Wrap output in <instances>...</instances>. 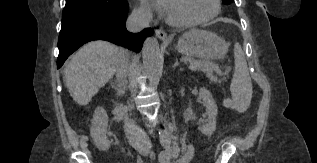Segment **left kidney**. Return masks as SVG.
I'll list each match as a JSON object with an SVG mask.
<instances>
[{
	"label": "left kidney",
	"mask_w": 317,
	"mask_h": 163,
	"mask_svg": "<svg viewBox=\"0 0 317 163\" xmlns=\"http://www.w3.org/2000/svg\"><path fill=\"white\" fill-rule=\"evenodd\" d=\"M199 96L203 100L208 118L206 123L200 126L198 129L202 134L211 136L216 130V117L218 114L217 105L212 97V94L206 88H200Z\"/></svg>",
	"instance_id": "5707ae66"
}]
</instances>
